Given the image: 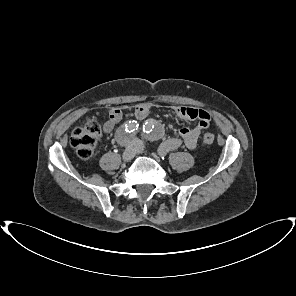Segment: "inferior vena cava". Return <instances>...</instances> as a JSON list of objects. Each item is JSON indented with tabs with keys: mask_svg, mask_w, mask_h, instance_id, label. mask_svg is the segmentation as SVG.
<instances>
[{
	"mask_svg": "<svg viewBox=\"0 0 296 296\" xmlns=\"http://www.w3.org/2000/svg\"><path fill=\"white\" fill-rule=\"evenodd\" d=\"M133 142H134V143H138V142H140V140H138V139H134Z\"/></svg>",
	"mask_w": 296,
	"mask_h": 296,
	"instance_id": "obj_1",
	"label": "inferior vena cava"
}]
</instances>
